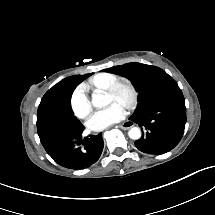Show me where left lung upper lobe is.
Masks as SVG:
<instances>
[{"mask_svg": "<svg viewBox=\"0 0 215 215\" xmlns=\"http://www.w3.org/2000/svg\"><path fill=\"white\" fill-rule=\"evenodd\" d=\"M104 71L122 73L130 77L140 91V102L130 120L145 128L135 146L148 154H162L172 150L181 140L186 107L176 81L162 69L139 63H129Z\"/></svg>", "mask_w": 215, "mask_h": 215, "instance_id": "1", "label": "left lung upper lobe"}]
</instances>
